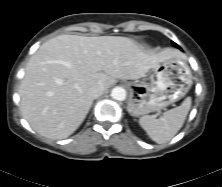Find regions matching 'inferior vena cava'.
Listing matches in <instances>:
<instances>
[{"instance_id": "1", "label": "inferior vena cava", "mask_w": 222, "mask_h": 187, "mask_svg": "<svg viewBox=\"0 0 222 187\" xmlns=\"http://www.w3.org/2000/svg\"><path fill=\"white\" fill-rule=\"evenodd\" d=\"M105 92V87L103 85H95L92 86L88 90V94L93 98L96 99L100 97Z\"/></svg>"}]
</instances>
